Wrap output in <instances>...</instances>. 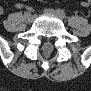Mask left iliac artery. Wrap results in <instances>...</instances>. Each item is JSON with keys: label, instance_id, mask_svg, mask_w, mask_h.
<instances>
[{"label": "left iliac artery", "instance_id": "left-iliac-artery-1", "mask_svg": "<svg viewBox=\"0 0 91 91\" xmlns=\"http://www.w3.org/2000/svg\"><path fill=\"white\" fill-rule=\"evenodd\" d=\"M57 12L61 16V18H66V14H65L64 10L58 9Z\"/></svg>", "mask_w": 91, "mask_h": 91}]
</instances>
